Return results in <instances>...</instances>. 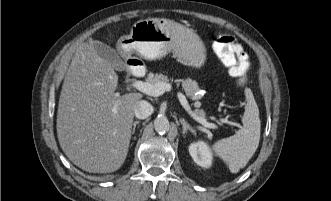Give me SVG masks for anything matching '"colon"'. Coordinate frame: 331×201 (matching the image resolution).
<instances>
[{"label": "colon", "instance_id": "1", "mask_svg": "<svg viewBox=\"0 0 331 201\" xmlns=\"http://www.w3.org/2000/svg\"><path fill=\"white\" fill-rule=\"evenodd\" d=\"M214 49L229 75L238 80L240 86L246 85V74L249 67L248 57L243 48L230 35L219 34L214 37Z\"/></svg>", "mask_w": 331, "mask_h": 201}]
</instances>
